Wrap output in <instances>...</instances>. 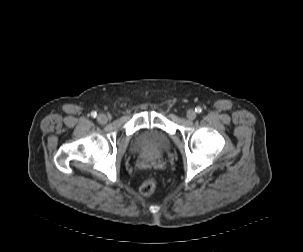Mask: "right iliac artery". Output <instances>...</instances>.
Returning a JSON list of instances; mask_svg holds the SVG:
<instances>
[{
  "label": "right iliac artery",
  "mask_w": 303,
  "mask_h": 252,
  "mask_svg": "<svg viewBox=\"0 0 303 252\" xmlns=\"http://www.w3.org/2000/svg\"><path fill=\"white\" fill-rule=\"evenodd\" d=\"M96 115H97V113H96L95 111H93V112L91 113V116H92V117H96Z\"/></svg>",
  "instance_id": "1"
}]
</instances>
